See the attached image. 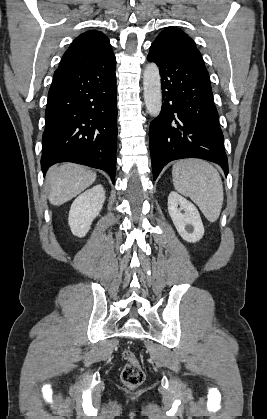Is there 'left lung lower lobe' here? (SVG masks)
Returning <instances> with one entry per match:
<instances>
[{
    "label": "left lung lower lobe",
    "mask_w": 267,
    "mask_h": 419,
    "mask_svg": "<svg viewBox=\"0 0 267 419\" xmlns=\"http://www.w3.org/2000/svg\"><path fill=\"white\" fill-rule=\"evenodd\" d=\"M147 60L160 68L162 108L149 129L153 180L170 161L201 158L228 173L224 138L204 64L151 45Z\"/></svg>",
    "instance_id": "1"
}]
</instances>
